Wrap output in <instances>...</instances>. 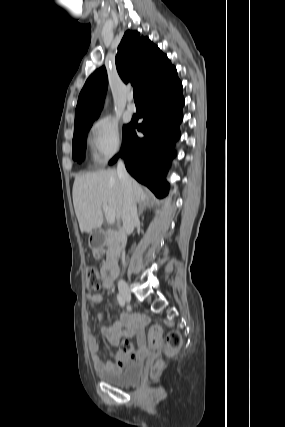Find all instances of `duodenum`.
<instances>
[{"instance_id": "410a0bca", "label": "duodenum", "mask_w": 285, "mask_h": 427, "mask_svg": "<svg viewBox=\"0 0 285 427\" xmlns=\"http://www.w3.org/2000/svg\"><path fill=\"white\" fill-rule=\"evenodd\" d=\"M117 274V261L114 257H110L103 267V280L105 283L110 282Z\"/></svg>"}]
</instances>
